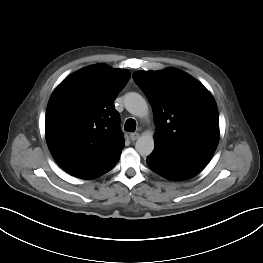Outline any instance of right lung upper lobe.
<instances>
[{
	"label": "right lung upper lobe",
	"instance_id": "1",
	"mask_svg": "<svg viewBox=\"0 0 263 263\" xmlns=\"http://www.w3.org/2000/svg\"><path fill=\"white\" fill-rule=\"evenodd\" d=\"M130 74L99 64L67 78L50 97L46 140L58 165L80 177L99 171L120 157L124 139L114 100Z\"/></svg>",
	"mask_w": 263,
	"mask_h": 263
}]
</instances>
